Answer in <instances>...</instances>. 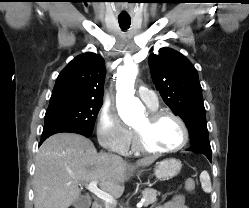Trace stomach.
<instances>
[{
  "label": "stomach",
  "mask_w": 249,
  "mask_h": 208,
  "mask_svg": "<svg viewBox=\"0 0 249 208\" xmlns=\"http://www.w3.org/2000/svg\"><path fill=\"white\" fill-rule=\"evenodd\" d=\"M182 164L179 160L174 158L165 159L156 164L154 174L159 180H168L180 172Z\"/></svg>",
  "instance_id": "obj_1"
}]
</instances>
